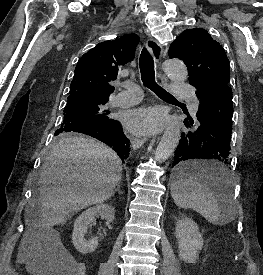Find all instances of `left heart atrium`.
<instances>
[{"label":"left heart atrium","mask_w":263,"mask_h":275,"mask_svg":"<svg viewBox=\"0 0 263 275\" xmlns=\"http://www.w3.org/2000/svg\"><path fill=\"white\" fill-rule=\"evenodd\" d=\"M128 129L134 134H147L162 123L161 113L153 108H141L130 112L125 118Z\"/></svg>","instance_id":"39dd6f15"}]
</instances>
